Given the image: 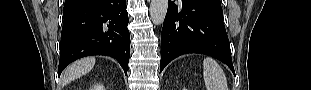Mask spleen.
Listing matches in <instances>:
<instances>
[{
    "label": "spleen",
    "instance_id": "spleen-1",
    "mask_svg": "<svg viewBox=\"0 0 311 90\" xmlns=\"http://www.w3.org/2000/svg\"><path fill=\"white\" fill-rule=\"evenodd\" d=\"M203 76L207 90H228L225 74L212 58L204 59Z\"/></svg>",
    "mask_w": 311,
    "mask_h": 90
}]
</instances>
